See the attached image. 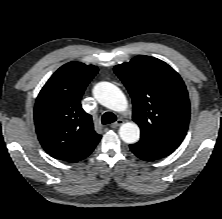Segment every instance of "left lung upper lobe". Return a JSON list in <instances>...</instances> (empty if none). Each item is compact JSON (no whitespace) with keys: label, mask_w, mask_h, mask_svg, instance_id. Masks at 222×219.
<instances>
[{"label":"left lung upper lobe","mask_w":222,"mask_h":219,"mask_svg":"<svg viewBox=\"0 0 222 219\" xmlns=\"http://www.w3.org/2000/svg\"><path fill=\"white\" fill-rule=\"evenodd\" d=\"M133 103V120L141 138L177 148L190 118L187 89L179 74L165 62L139 55L114 67Z\"/></svg>","instance_id":"5c2ea615"}]
</instances>
